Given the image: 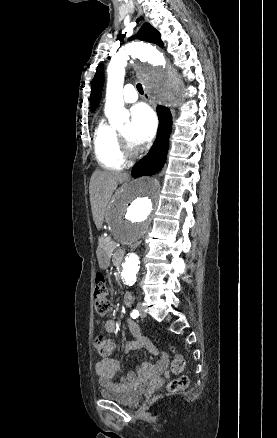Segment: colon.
<instances>
[{"label": "colon", "instance_id": "colon-1", "mask_svg": "<svg viewBox=\"0 0 277 438\" xmlns=\"http://www.w3.org/2000/svg\"><path fill=\"white\" fill-rule=\"evenodd\" d=\"M108 290L106 285V277L103 273L97 272L95 274V303L94 309L99 317H105L110 309V301L107 299ZM94 347L100 357L105 359L111 355L115 349L114 341L103 334H97L94 338ZM174 359L171 370L174 374L182 372L184 368V358L177 351L174 353ZM188 385L187 377H180L173 380H169L167 388L162 391L164 398H173L176 391L183 390Z\"/></svg>", "mask_w": 277, "mask_h": 438}]
</instances>
